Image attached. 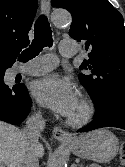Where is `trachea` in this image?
Here are the masks:
<instances>
[{
  "mask_svg": "<svg viewBox=\"0 0 125 167\" xmlns=\"http://www.w3.org/2000/svg\"><path fill=\"white\" fill-rule=\"evenodd\" d=\"M52 45L53 39L50 24L47 17L41 15L35 23L34 39L31 45L18 56V60L25 63L39 55L44 47H51Z\"/></svg>",
  "mask_w": 125,
  "mask_h": 167,
  "instance_id": "obj_1",
  "label": "trachea"
}]
</instances>
